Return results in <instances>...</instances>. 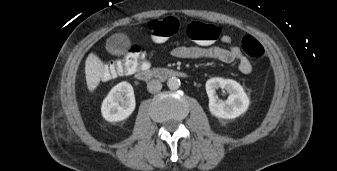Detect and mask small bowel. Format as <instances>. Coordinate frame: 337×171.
Listing matches in <instances>:
<instances>
[{
	"label": "small bowel",
	"instance_id": "small-bowel-1",
	"mask_svg": "<svg viewBox=\"0 0 337 171\" xmlns=\"http://www.w3.org/2000/svg\"><path fill=\"white\" fill-rule=\"evenodd\" d=\"M221 42L223 46L177 45L171 53L179 59H213L223 63L238 62L241 73H251V62L243 55L241 49L233 44L231 36L223 35Z\"/></svg>",
	"mask_w": 337,
	"mask_h": 171
}]
</instances>
